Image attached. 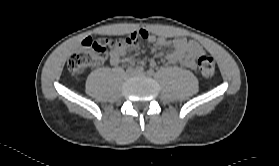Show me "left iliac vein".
I'll return each instance as SVG.
<instances>
[{
	"label": "left iliac vein",
	"instance_id": "4c4485c4",
	"mask_svg": "<svg viewBox=\"0 0 279 166\" xmlns=\"http://www.w3.org/2000/svg\"><path fill=\"white\" fill-rule=\"evenodd\" d=\"M136 74H138V75H145L144 72H136Z\"/></svg>",
	"mask_w": 279,
	"mask_h": 166
}]
</instances>
